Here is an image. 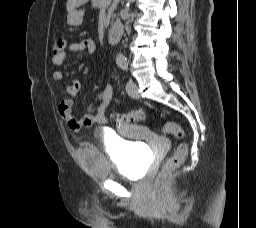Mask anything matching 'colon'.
<instances>
[{
    "label": "colon",
    "mask_w": 256,
    "mask_h": 228,
    "mask_svg": "<svg viewBox=\"0 0 256 228\" xmlns=\"http://www.w3.org/2000/svg\"><path fill=\"white\" fill-rule=\"evenodd\" d=\"M64 48H65L64 39L60 36H56L53 39L54 53L55 54L59 53L63 51ZM144 119H145V113L140 109L134 110L128 114L118 115L116 117L118 124L137 123V122L143 121ZM163 132L166 134H172L173 136H175L177 139L180 140V143L177 146L174 154L168 158V160L166 161V163L158 173L155 180L156 186L162 185V183L165 181L168 174L174 169L178 168L183 163L188 153V144L185 140V132L179 124L175 122H167L163 126Z\"/></svg>",
    "instance_id": "1"
}]
</instances>
